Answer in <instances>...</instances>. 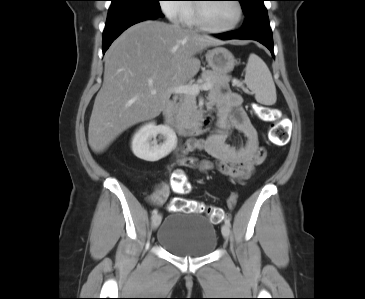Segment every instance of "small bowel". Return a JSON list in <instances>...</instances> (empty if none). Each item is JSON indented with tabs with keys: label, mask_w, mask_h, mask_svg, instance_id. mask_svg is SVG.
<instances>
[{
	"label": "small bowel",
	"mask_w": 365,
	"mask_h": 299,
	"mask_svg": "<svg viewBox=\"0 0 365 299\" xmlns=\"http://www.w3.org/2000/svg\"><path fill=\"white\" fill-rule=\"evenodd\" d=\"M211 101L218 108L216 129L203 139L187 141L180 162L189 167H196L201 171H209L214 164L208 160L198 161L185 155L192 151H204L216 160V168L224 175L243 181L248 179L255 168L266 158V150L260 145L258 132L241 107L242 97L232 91H213ZM241 132L246 141L240 147H234L225 142L229 129ZM170 189L166 183L160 184L150 196L153 204L161 205L169 197Z\"/></svg>",
	"instance_id": "c3829d8e"
}]
</instances>
